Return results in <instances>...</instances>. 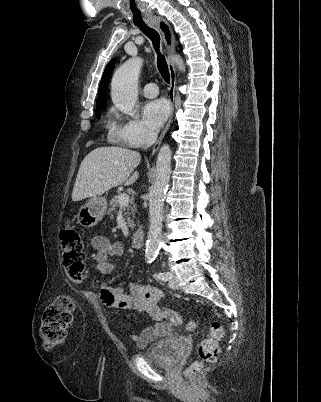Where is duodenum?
<instances>
[{"instance_id": "obj_1", "label": "duodenum", "mask_w": 321, "mask_h": 402, "mask_svg": "<svg viewBox=\"0 0 321 402\" xmlns=\"http://www.w3.org/2000/svg\"><path fill=\"white\" fill-rule=\"evenodd\" d=\"M144 242V231L139 228L131 236V244L134 248L142 247Z\"/></svg>"}]
</instances>
